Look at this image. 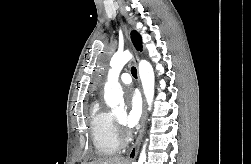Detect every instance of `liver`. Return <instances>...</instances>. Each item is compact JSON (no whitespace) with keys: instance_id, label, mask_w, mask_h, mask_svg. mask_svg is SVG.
<instances>
[{"instance_id":"obj_1","label":"liver","mask_w":251,"mask_h":164,"mask_svg":"<svg viewBox=\"0 0 251 164\" xmlns=\"http://www.w3.org/2000/svg\"><path fill=\"white\" fill-rule=\"evenodd\" d=\"M88 164H128V160L123 157H106Z\"/></svg>"}]
</instances>
